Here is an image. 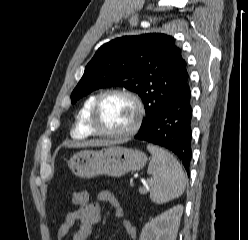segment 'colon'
Segmentation results:
<instances>
[{
    "label": "colon",
    "instance_id": "1",
    "mask_svg": "<svg viewBox=\"0 0 248 240\" xmlns=\"http://www.w3.org/2000/svg\"><path fill=\"white\" fill-rule=\"evenodd\" d=\"M89 201V195L87 191L80 190L73 194L72 196V204L76 207L82 206Z\"/></svg>",
    "mask_w": 248,
    "mask_h": 240
}]
</instances>
